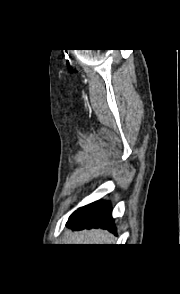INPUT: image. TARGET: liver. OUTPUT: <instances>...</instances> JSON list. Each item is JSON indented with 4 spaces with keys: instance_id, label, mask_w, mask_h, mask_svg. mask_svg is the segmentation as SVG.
<instances>
[{
    "instance_id": "1",
    "label": "liver",
    "mask_w": 180,
    "mask_h": 294,
    "mask_svg": "<svg viewBox=\"0 0 180 294\" xmlns=\"http://www.w3.org/2000/svg\"><path fill=\"white\" fill-rule=\"evenodd\" d=\"M68 244H109L111 239L106 231L84 230L72 233L67 237Z\"/></svg>"
}]
</instances>
